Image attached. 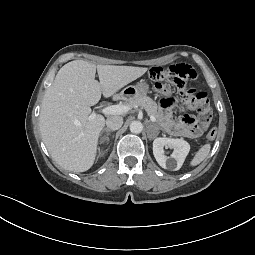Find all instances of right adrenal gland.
I'll list each match as a JSON object with an SVG mask.
<instances>
[{
  "label": "right adrenal gland",
  "instance_id": "2a0ac1e0",
  "mask_svg": "<svg viewBox=\"0 0 255 255\" xmlns=\"http://www.w3.org/2000/svg\"><path fill=\"white\" fill-rule=\"evenodd\" d=\"M105 130H106L108 133L112 132V130H110L109 128H105Z\"/></svg>",
  "mask_w": 255,
  "mask_h": 255
}]
</instances>
